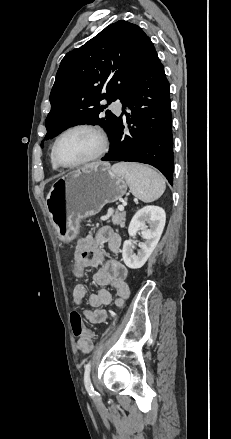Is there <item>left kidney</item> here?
<instances>
[{
  "label": "left kidney",
  "instance_id": "left-kidney-1",
  "mask_svg": "<svg viewBox=\"0 0 231 439\" xmlns=\"http://www.w3.org/2000/svg\"><path fill=\"white\" fill-rule=\"evenodd\" d=\"M165 221L166 213L159 206H145L136 212L128 228L130 239L124 242L122 250L123 261L128 268L138 269L146 263L160 240ZM146 223H148V226ZM140 230L141 237L145 239V242L139 243L140 249L136 254L133 251L134 243L132 238Z\"/></svg>",
  "mask_w": 231,
  "mask_h": 439
}]
</instances>
